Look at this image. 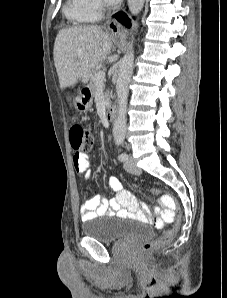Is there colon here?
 <instances>
[{
    "label": "colon",
    "instance_id": "1",
    "mask_svg": "<svg viewBox=\"0 0 227 298\" xmlns=\"http://www.w3.org/2000/svg\"><path fill=\"white\" fill-rule=\"evenodd\" d=\"M70 142L74 150H87L88 152L93 146V135L85 125L74 124L70 128ZM150 193L159 194V190L154 188L150 190ZM160 201L164 207L166 217L169 221H173V226L166 230L159 238L142 244L139 247L141 254H147L170 244L178 233L181 224V215L176 210L174 201L167 194H162ZM151 222L156 226L162 225V219H152Z\"/></svg>",
    "mask_w": 227,
    "mask_h": 298
}]
</instances>
